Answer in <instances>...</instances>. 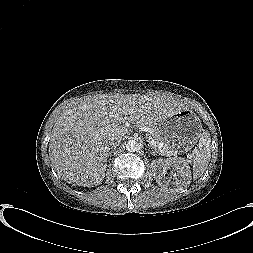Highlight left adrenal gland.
<instances>
[{
  "label": "left adrenal gland",
  "mask_w": 253,
  "mask_h": 253,
  "mask_svg": "<svg viewBox=\"0 0 253 253\" xmlns=\"http://www.w3.org/2000/svg\"><path fill=\"white\" fill-rule=\"evenodd\" d=\"M150 153L156 155V150L150 145L149 146Z\"/></svg>",
  "instance_id": "left-adrenal-gland-1"
}]
</instances>
